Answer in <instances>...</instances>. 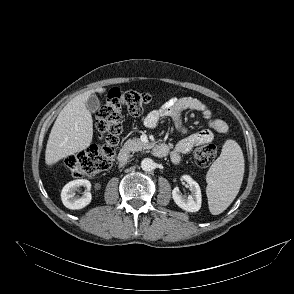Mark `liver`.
<instances>
[{
	"label": "liver",
	"instance_id": "obj_1",
	"mask_svg": "<svg viewBox=\"0 0 294 294\" xmlns=\"http://www.w3.org/2000/svg\"><path fill=\"white\" fill-rule=\"evenodd\" d=\"M105 88L86 91L73 98L59 113L49 135L45 151L48 166L86 149L93 138V119L86 107L87 99Z\"/></svg>",
	"mask_w": 294,
	"mask_h": 294
}]
</instances>
